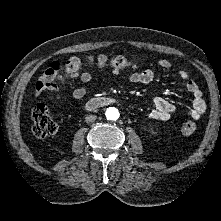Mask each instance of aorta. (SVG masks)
I'll use <instances>...</instances> for the list:
<instances>
[{
    "label": "aorta",
    "mask_w": 221,
    "mask_h": 221,
    "mask_svg": "<svg viewBox=\"0 0 221 221\" xmlns=\"http://www.w3.org/2000/svg\"><path fill=\"white\" fill-rule=\"evenodd\" d=\"M105 116L108 120H117L119 118L118 109L114 107H109L105 112Z\"/></svg>",
    "instance_id": "obj_1"
}]
</instances>
